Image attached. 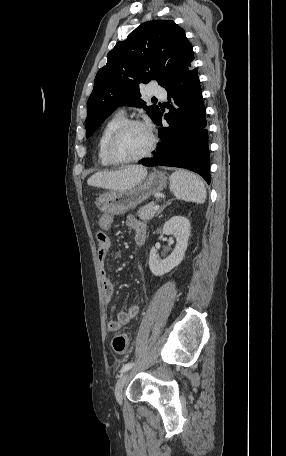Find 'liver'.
<instances>
[{"label": "liver", "mask_w": 286, "mask_h": 456, "mask_svg": "<svg viewBox=\"0 0 286 456\" xmlns=\"http://www.w3.org/2000/svg\"><path fill=\"white\" fill-rule=\"evenodd\" d=\"M146 176L145 167L131 165L117 171H99L87 180V184L112 191H124L140 184Z\"/></svg>", "instance_id": "liver-1"}]
</instances>
